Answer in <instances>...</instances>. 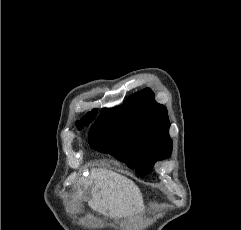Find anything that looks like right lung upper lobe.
Wrapping results in <instances>:
<instances>
[{
    "instance_id": "right-lung-upper-lobe-1",
    "label": "right lung upper lobe",
    "mask_w": 241,
    "mask_h": 230,
    "mask_svg": "<svg viewBox=\"0 0 241 230\" xmlns=\"http://www.w3.org/2000/svg\"><path fill=\"white\" fill-rule=\"evenodd\" d=\"M96 114H97V110L96 109L88 112L86 114V116H84L82 118L81 121H77V127L79 129H82L84 125H86V124L90 123L91 121H93V119L95 118Z\"/></svg>"
}]
</instances>
